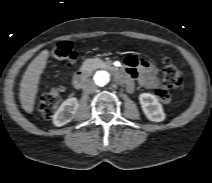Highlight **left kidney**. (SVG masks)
I'll list each match as a JSON object with an SVG mask.
<instances>
[{"label": "left kidney", "mask_w": 212, "mask_h": 183, "mask_svg": "<svg viewBox=\"0 0 212 183\" xmlns=\"http://www.w3.org/2000/svg\"><path fill=\"white\" fill-rule=\"evenodd\" d=\"M139 101L142 111L150 121L161 122L165 119L162 105L155 95L151 93H141L139 95Z\"/></svg>", "instance_id": "1"}]
</instances>
